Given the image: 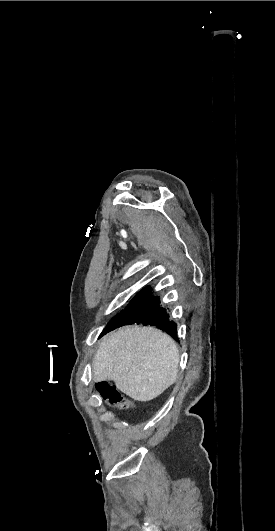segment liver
Listing matches in <instances>:
<instances>
[{
    "label": "liver",
    "instance_id": "6515ba94",
    "mask_svg": "<svg viewBox=\"0 0 275 531\" xmlns=\"http://www.w3.org/2000/svg\"><path fill=\"white\" fill-rule=\"evenodd\" d=\"M179 351L154 327H122L103 337L93 361V379L114 381L134 401H152L177 379Z\"/></svg>",
    "mask_w": 275,
    "mask_h": 531
}]
</instances>
